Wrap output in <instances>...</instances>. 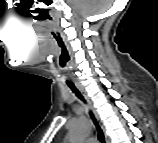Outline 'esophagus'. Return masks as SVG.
Returning <instances> with one entry per match:
<instances>
[{
  "instance_id": "obj_1",
  "label": "esophagus",
  "mask_w": 158,
  "mask_h": 143,
  "mask_svg": "<svg viewBox=\"0 0 158 143\" xmlns=\"http://www.w3.org/2000/svg\"><path fill=\"white\" fill-rule=\"evenodd\" d=\"M76 87H77L78 91L80 92V94L82 95L83 99L85 100L86 104L88 105V107L92 111V113H93L96 121L98 122L100 128L102 129L105 142L108 143V136L105 133L104 125L102 124V122L100 120V117H99L96 109L94 108L92 102L90 101V99L88 98V96L86 95V93L84 92V90L79 85H76Z\"/></svg>"
}]
</instances>
